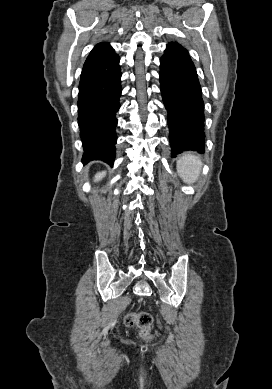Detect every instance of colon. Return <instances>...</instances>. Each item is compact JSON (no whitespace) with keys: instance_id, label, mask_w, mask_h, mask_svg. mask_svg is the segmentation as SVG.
Listing matches in <instances>:
<instances>
[{"instance_id":"obj_1","label":"colon","mask_w":272,"mask_h":389,"mask_svg":"<svg viewBox=\"0 0 272 389\" xmlns=\"http://www.w3.org/2000/svg\"><path fill=\"white\" fill-rule=\"evenodd\" d=\"M124 324L129 327H138L140 330V336L144 340H151L153 338V317L147 312L128 313L124 317Z\"/></svg>"}]
</instances>
